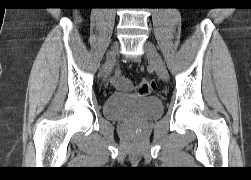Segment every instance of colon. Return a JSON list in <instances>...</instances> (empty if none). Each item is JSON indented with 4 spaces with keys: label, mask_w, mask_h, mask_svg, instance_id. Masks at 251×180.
Wrapping results in <instances>:
<instances>
[{
    "label": "colon",
    "mask_w": 251,
    "mask_h": 180,
    "mask_svg": "<svg viewBox=\"0 0 251 180\" xmlns=\"http://www.w3.org/2000/svg\"><path fill=\"white\" fill-rule=\"evenodd\" d=\"M156 88L154 81L149 79H141L135 86V92L138 95L146 96L151 94Z\"/></svg>",
    "instance_id": "colon-1"
}]
</instances>
